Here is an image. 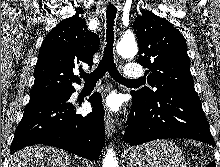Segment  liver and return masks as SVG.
Returning a JSON list of instances; mask_svg holds the SVG:
<instances>
[{
	"label": "liver",
	"mask_w": 220,
	"mask_h": 167,
	"mask_svg": "<svg viewBox=\"0 0 220 167\" xmlns=\"http://www.w3.org/2000/svg\"><path fill=\"white\" fill-rule=\"evenodd\" d=\"M9 167H70V160L62 150L37 145L12 154Z\"/></svg>",
	"instance_id": "1"
}]
</instances>
